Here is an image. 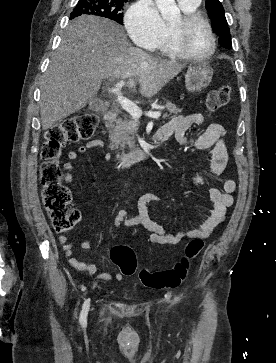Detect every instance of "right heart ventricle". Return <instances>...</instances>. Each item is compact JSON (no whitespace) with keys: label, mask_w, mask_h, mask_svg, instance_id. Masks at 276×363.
Instances as JSON below:
<instances>
[{"label":"right heart ventricle","mask_w":276,"mask_h":363,"mask_svg":"<svg viewBox=\"0 0 276 363\" xmlns=\"http://www.w3.org/2000/svg\"><path fill=\"white\" fill-rule=\"evenodd\" d=\"M182 10L185 13L193 12L197 9V6H183L180 5ZM155 49H157L160 53L171 56V57H181L180 53L174 47L172 42V25L165 24V32L161 40L156 45Z\"/></svg>","instance_id":"1"}]
</instances>
